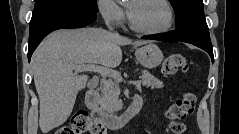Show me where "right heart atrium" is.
<instances>
[{
  "mask_svg": "<svg viewBox=\"0 0 239 134\" xmlns=\"http://www.w3.org/2000/svg\"><path fill=\"white\" fill-rule=\"evenodd\" d=\"M99 12L105 22L111 25H120L124 20V12L121 6L114 0H99Z\"/></svg>",
  "mask_w": 239,
  "mask_h": 134,
  "instance_id": "d8ad5b80",
  "label": "right heart atrium"
}]
</instances>
